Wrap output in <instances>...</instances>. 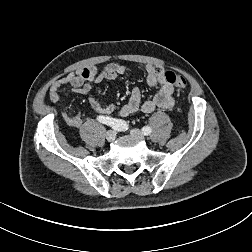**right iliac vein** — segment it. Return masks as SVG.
Segmentation results:
<instances>
[{"label":"right iliac vein","instance_id":"63e3f726","mask_svg":"<svg viewBox=\"0 0 252 252\" xmlns=\"http://www.w3.org/2000/svg\"><path fill=\"white\" fill-rule=\"evenodd\" d=\"M105 136H106V139H107L109 142H112V141H114L115 138H116V132L113 131V130H109V131L106 132Z\"/></svg>","mask_w":252,"mask_h":252}]
</instances>
